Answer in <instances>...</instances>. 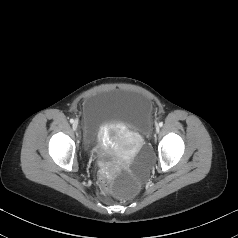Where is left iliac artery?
Masks as SVG:
<instances>
[{
  "mask_svg": "<svg viewBox=\"0 0 238 238\" xmlns=\"http://www.w3.org/2000/svg\"><path fill=\"white\" fill-rule=\"evenodd\" d=\"M159 126H160V127H162V126H163V123H162V122H160V123H159Z\"/></svg>",
  "mask_w": 238,
  "mask_h": 238,
  "instance_id": "obj_1",
  "label": "left iliac artery"
}]
</instances>
